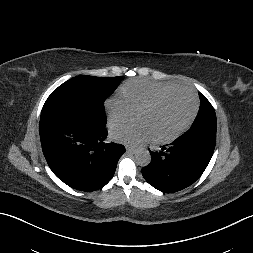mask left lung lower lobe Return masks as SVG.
I'll return each instance as SVG.
<instances>
[{
  "label": "left lung lower lobe",
  "mask_w": 253,
  "mask_h": 253,
  "mask_svg": "<svg viewBox=\"0 0 253 253\" xmlns=\"http://www.w3.org/2000/svg\"><path fill=\"white\" fill-rule=\"evenodd\" d=\"M214 148L196 138H177L160 152H151V162L142 169L154 188L173 193L193 184L206 169Z\"/></svg>",
  "instance_id": "left-lung-lower-lobe-1"
}]
</instances>
